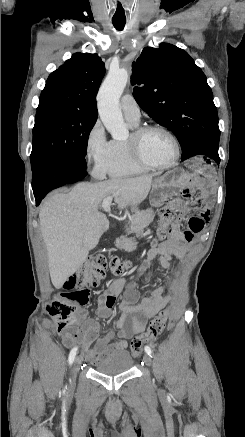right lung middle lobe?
Segmentation results:
<instances>
[{"instance_id": "obj_1", "label": "right lung middle lobe", "mask_w": 245, "mask_h": 437, "mask_svg": "<svg viewBox=\"0 0 245 437\" xmlns=\"http://www.w3.org/2000/svg\"><path fill=\"white\" fill-rule=\"evenodd\" d=\"M97 116L60 106L38 107L33 128L31 168L47 161L85 165L88 137Z\"/></svg>"}]
</instances>
